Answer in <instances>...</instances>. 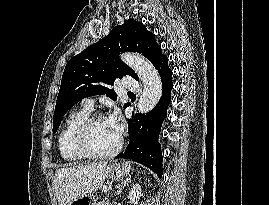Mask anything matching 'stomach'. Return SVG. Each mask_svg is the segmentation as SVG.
I'll use <instances>...</instances> for the list:
<instances>
[{
    "mask_svg": "<svg viewBox=\"0 0 269 205\" xmlns=\"http://www.w3.org/2000/svg\"><path fill=\"white\" fill-rule=\"evenodd\" d=\"M131 170V166L127 162L121 164L109 165L106 170V176L112 181H117L122 179L124 176L128 175ZM94 199L89 195H84L79 198L74 199L70 205H95Z\"/></svg>",
    "mask_w": 269,
    "mask_h": 205,
    "instance_id": "0dacf381",
    "label": "stomach"
}]
</instances>
